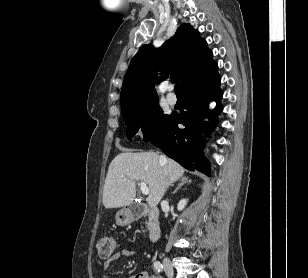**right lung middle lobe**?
I'll use <instances>...</instances> for the list:
<instances>
[{
  "mask_svg": "<svg viewBox=\"0 0 308 278\" xmlns=\"http://www.w3.org/2000/svg\"><path fill=\"white\" fill-rule=\"evenodd\" d=\"M172 115H165L158 103H153L123 114L127 124V137L131 139L138 131L143 139L150 141L158 136L168 124Z\"/></svg>",
  "mask_w": 308,
  "mask_h": 278,
  "instance_id": "dd1d6c3e",
  "label": "right lung middle lobe"
}]
</instances>
